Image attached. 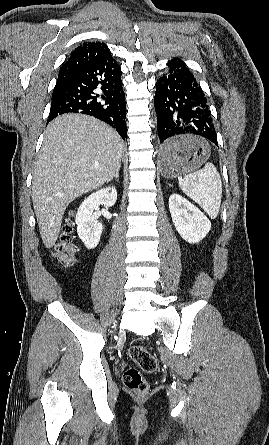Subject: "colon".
I'll return each mask as SVG.
<instances>
[{"label":"colon","mask_w":269,"mask_h":445,"mask_svg":"<svg viewBox=\"0 0 269 445\" xmlns=\"http://www.w3.org/2000/svg\"><path fill=\"white\" fill-rule=\"evenodd\" d=\"M73 220L68 218L62 228L59 243L54 248L55 257L64 264L73 261L75 249L72 245ZM130 359L138 368H128L123 374L125 386L137 394H145L148 390V383L142 372L152 374L156 372L158 364L154 355L142 345H134L128 351ZM142 371V372H141Z\"/></svg>","instance_id":"colon-1"}]
</instances>
